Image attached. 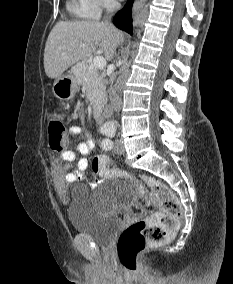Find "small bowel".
<instances>
[{
    "label": "small bowel",
    "mask_w": 233,
    "mask_h": 284,
    "mask_svg": "<svg viewBox=\"0 0 233 284\" xmlns=\"http://www.w3.org/2000/svg\"><path fill=\"white\" fill-rule=\"evenodd\" d=\"M69 134L81 140L78 144V151L82 157L76 164H73L76 155L73 151L66 150L60 154V159L53 161L51 168L53 182L55 187L60 191L64 190L69 183L76 182L82 178L83 172H85L89 166L86 156L93 151L95 146L92 137L85 133L80 126L76 125L70 127Z\"/></svg>",
    "instance_id": "obj_1"
}]
</instances>
